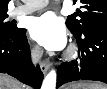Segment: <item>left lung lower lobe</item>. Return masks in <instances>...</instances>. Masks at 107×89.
Returning <instances> with one entry per match:
<instances>
[{
	"label": "left lung lower lobe",
	"mask_w": 107,
	"mask_h": 89,
	"mask_svg": "<svg viewBox=\"0 0 107 89\" xmlns=\"http://www.w3.org/2000/svg\"><path fill=\"white\" fill-rule=\"evenodd\" d=\"M71 32L78 42L79 59L58 67L57 87L76 80L107 83V24L92 25L81 34Z\"/></svg>",
	"instance_id": "obj_1"
}]
</instances>
